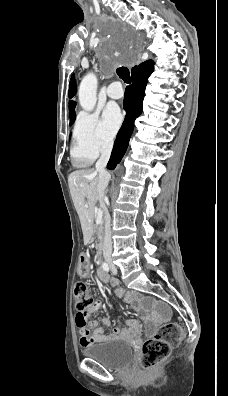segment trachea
<instances>
[{"label": "trachea", "mask_w": 228, "mask_h": 396, "mask_svg": "<svg viewBox=\"0 0 228 396\" xmlns=\"http://www.w3.org/2000/svg\"><path fill=\"white\" fill-rule=\"evenodd\" d=\"M117 74L125 83H130V72L127 67L118 68Z\"/></svg>", "instance_id": "trachea-1"}]
</instances>
